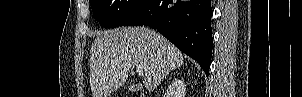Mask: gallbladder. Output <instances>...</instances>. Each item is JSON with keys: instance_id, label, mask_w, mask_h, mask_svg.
Segmentation results:
<instances>
[{"instance_id": "gallbladder-1", "label": "gallbladder", "mask_w": 302, "mask_h": 97, "mask_svg": "<svg viewBox=\"0 0 302 97\" xmlns=\"http://www.w3.org/2000/svg\"><path fill=\"white\" fill-rule=\"evenodd\" d=\"M132 91H135L136 89H131Z\"/></svg>"}]
</instances>
